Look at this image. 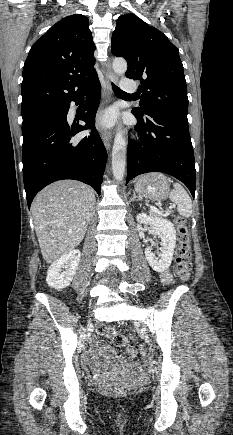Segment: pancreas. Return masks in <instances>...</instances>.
I'll list each match as a JSON object with an SVG mask.
<instances>
[{"instance_id": "cf45deb5", "label": "pancreas", "mask_w": 233, "mask_h": 435, "mask_svg": "<svg viewBox=\"0 0 233 435\" xmlns=\"http://www.w3.org/2000/svg\"><path fill=\"white\" fill-rule=\"evenodd\" d=\"M150 213H151L152 215H156V213H155L154 211H151Z\"/></svg>"}]
</instances>
